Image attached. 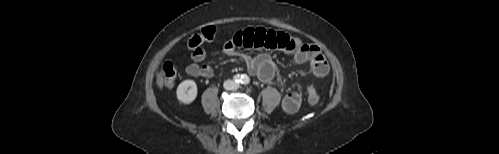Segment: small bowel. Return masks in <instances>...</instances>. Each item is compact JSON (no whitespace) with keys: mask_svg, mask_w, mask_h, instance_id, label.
<instances>
[{"mask_svg":"<svg viewBox=\"0 0 499 154\" xmlns=\"http://www.w3.org/2000/svg\"><path fill=\"white\" fill-rule=\"evenodd\" d=\"M240 48H258L279 50L290 55L297 64L310 63L313 74L324 79L329 73L328 62L321 49L312 44L303 43L299 38L276 32L262 27L246 28L236 32L222 47V52L228 56H238L246 64L250 74L263 82H269L274 77V64L268 53L263 52L256 57L241 53ZM206 57V51L199 47L192 54V63L186 67V73L191 77L211 78L213 69L207 64H200ZM302 104L301 95L290 92L282 99V108L289 114L296 113Z\"/></svg>","mask_w":499,"mask_h":154,"instance_id":"obj_1","label":"small bowel"}]
</instances>
